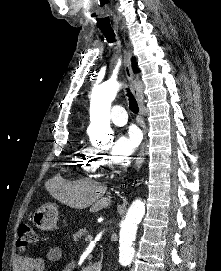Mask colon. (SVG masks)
Segmentation results:
<instances>
[{"label": "colon", "mask_w": 221, "mask_h": 271, "mask_svg": "<svg viewBox=\"0 0 221 271\" xmlns=\"http://www.w3.org/2000/svg\"><path fill=\"white\" fill-rule=\"evenodd\" d=\"M38 242L36 232L32 226L27 223H20L16 239V250L20 254H25L31 247Z\"/></svg>", "instance_id": "1"}]
</instances>
